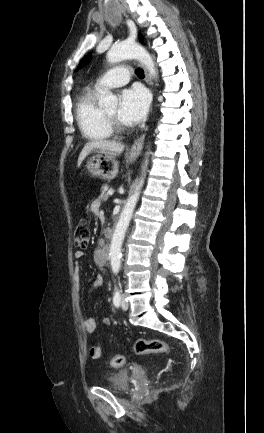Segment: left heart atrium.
<instances>
[{
	"label": "left heart atrium",
	"instance_id": "1",
	"mask_svg": "<svg viewBox=\"0 0 264 433\" xmlns=\"http://www.w3.org/2000/svg\"><path fill=\"white\" fill-rule=\"evenodd\" d=\"M148 106L149 96L144 89L140 87L126 89L120 96L118 118L127 125L137 124L146 116Z\"/></svg>",
	"mask_w": 264,
	"mask_h": 433
}]
</instances>
